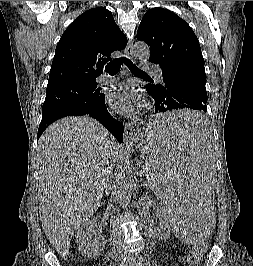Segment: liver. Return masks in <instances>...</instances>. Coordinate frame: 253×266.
<instances>
[{
    "mask_svg": "<svg viewBox=\"0 0 253 266\" xmlns=\"http://www.w3.org/2000/svg\"><path fill=\"white\" fill-rule=\"evenodd\" d=\"M120 153L112 135L85 116L60 119L39 139L40 220L62 257L75 231L99 208L107 173Z\"/></svg>",
    "mask_w": 253,
    "mask_h": 266,
    "instance_id": "6515ba94",
    "label": "liver"
}]
</instances>
